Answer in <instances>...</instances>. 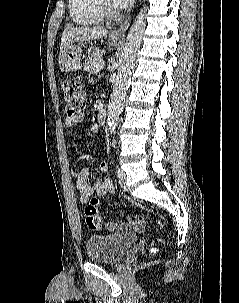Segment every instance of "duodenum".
Here are the masks:
<instances>
[{"mask_svg":"<svg viewBox=\"0 0 239 303\" xmlns=\"http://www.w3.org/2000/svg\"><path fill=\"white\" fill-rule=\"evenodd\" d=\"M98 123L100 125H104L106 123V111L104 109H100L98 111Z\"/></svg>","mask_w":239,"mask_h":303,"instance_id":"1","label":"duodenum"}]
</instances>
